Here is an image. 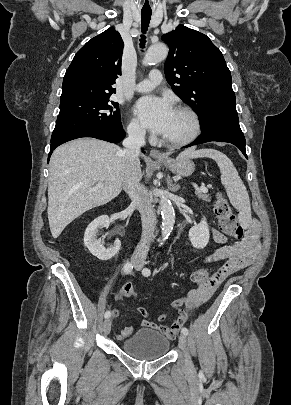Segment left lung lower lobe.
<instances>
[{
    "label": "left lung lower lobe",
    "instance_id": "1",
    "mask_svg": "<svg viewBox=\"0 0 291 405\" xmlns=\"http://www.w3.org/2000/svg\"><path fill=\"white\" fill-rule=\"evenodd\" d=\"M210 141L232 143L237 146L247 158L245 137L240 129L239 121L236 118L222 117L214 121L207 130L203 131V133L195 141L186 147Z\"/></svg>",
    "mask_w": 291,
    "mask_h": 405
}]
</instances>
